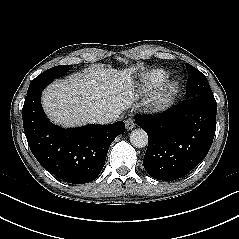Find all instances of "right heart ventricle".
Here are the masks:
<instances>
[{
    "label": "right heart ventricle",
    "mask_w": 239,
    "mask_h": 239,
    "mask_svg": "<svg viewBox=\"0 0 239 239\" xmlns=\"http://www.w3.org/2000/svg\"><path fill=\"white\" fill-rule=\"evenodd\" d=\"M168 78V73L162 69L150 70L142 77V89L149 92L159 87Z\"/></svg>",
    "instance_id": "obj_1"
}]
</instances>
